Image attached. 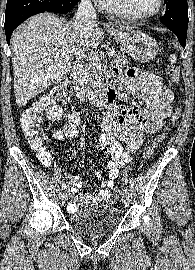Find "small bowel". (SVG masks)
<instances>
[{
  "label": "small bowel",
  "instance_id": "obj_1",
  "mask_svg": "<svg viewBox=\"0 0 195 270\" xmlns=\"http://www.w3.org/2000/svg\"><path fill=\"white\" fill-rule=\"evenodd\" d=\"M114 78L120 83L122 99L134 95L143 100L146 107L141 109L135 105L117 103L108 110L104 121L105 132L99 145L101 152L110 156L107 164L108 178L104 180L101 173L96 172V178L101 180L99 188L90 193L78 194L81 178L75 176L69 186L70 202L67 210L70 213L76 212L78 205L110 202L111 189L115 186L120 168L130 162L132 155L145 142L147 136L158 131L172 113L173 96L160 76L129 69L124 74L115 72ZM79 125V114L72 113L65 126L54 131L53 137L58 140L75 138L78 136ZM122 143L126 144V150Z\"/></svg>",
  "mask_w": 195,
  "mask_h": 270
}]
</instances>
